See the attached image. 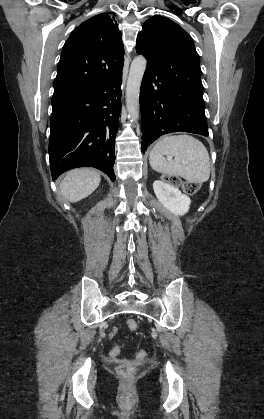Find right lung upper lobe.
<instances>
[{
    "label": "right lung upper lobe",
    "mask_w": 264,
    "mask_h": 419,
    "mask_svg": "<svg viewBox=\"0 0 264 419\" xmlns=\"http://www.w3.org/2000/svg\"><path fill=\"white\" fill-rule=\"evenodd\" d=\"M124 47L118 24L98 14L71 33L63 46L54 94L64 95L101 85L122 72Z\"/></svg>",
    "instance_id": "right-lung-upper-lobe-1"
}]
</instances>
